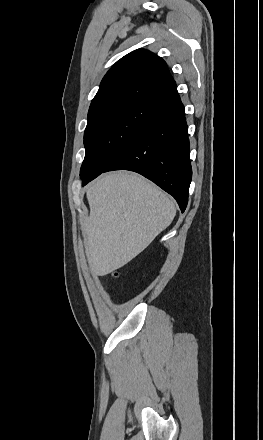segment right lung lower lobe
Returning a JSON list of instances; mask_svg holds the SVG:
<instances>
[{"label": "right lung lower lobe", "mask_w": 263, "mask_h": 440, "mask_svg": "<svg viewBox=\"0 0 263 440\" xmlns=\"http://www.w3.org/2000/svg\"><path fill=\"white\" fill-rule=\"evenodd\" d=\"M189 148L184 106L176 92L156 106L144 127L103 172H137L171 194L184 212L192 178ZM94 178L83 181V186Z\"/></svg>", "instance_id": "98d812e1"}]
</instances>
